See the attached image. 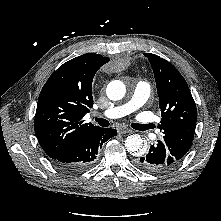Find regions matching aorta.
<instances>
[{"instance_id": "obj_1", "label": "aorta", "mask_w": 221, "mask_h": 221, "mask_svg": "<svg viewBox=\"0 0 221 221\" xmlns=\"http://www.w3.org/2000/svg\"><path fill=\"white\" fill-rule=\"evenodd\" d=\"M126 87L120 80H113L107 85L106 94L110 100H120L125 96ZM126 150L133 156H142L147 150L145 140L139 134H131L125 140Z\"/></svg>"}]
</instances>
